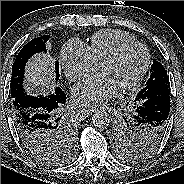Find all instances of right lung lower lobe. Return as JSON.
Wrapping results in <instances>:
<instances>
[{
    "label": "right lung lower lobe",
    "mask_w": 184,
    "mask_h": 184,
    "mask_svg": "<svg viewBox=\"0 0 184 184\" xmlns=\"http://www.w3.org/2000/svg\"><path fill=\"white\" fill-rule=\"evenodd\" d=\"M11 102L15 125L22 142L39 146L51 140L49 122L62 112L66 95L57 87L53 94L46 96L21 93L12 97Z\"/></svg>",
    "instance_id": "98d812e1"
}]
</instances>
